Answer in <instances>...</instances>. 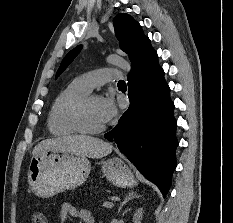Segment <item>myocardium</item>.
I'll return each instance as SVG.
<instances>
[{
    "mask_svg": "<svg viewBox=\"0 0 233 223\" xmlns=\"http://www.w3.org/2000/svg\"><path fill=\"white\" fill-rule=\"evenodd\" d=\"M96 96L93 94H89L80 100L73 108L71 113V124L77 133L87 136L98 135L105 130V125H102L96 129H89L85 126L84 123V115L86 111V107L89 101Z\"/></svg>",
    "mask_w": 233,
    "mask_h": 223,
    "instance_id": "1",
    "label": "myocardium"
}]
</instances>
